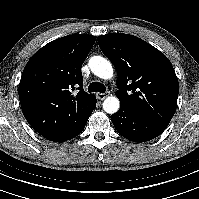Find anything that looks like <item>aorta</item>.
<instances>
[{"instance_id": "1", "label": "aorta", "mask_w": 199, "mask_h": 199, "mask_svg": "<svg viewBox=\"0 0 199 199\" xmlns=\"http://www.w3.org/2000/svg\"><path fill=\"white\" fill-rule=\"evenodd\" d=\"M89 67L91 71L101 79H110L113 76V68L111 63L101 57L93 56L89 60ZM120 102L115 96L107 97L103 102V109L106 113L114 114L119 110Z\"/></svg>"}]
</instances>
